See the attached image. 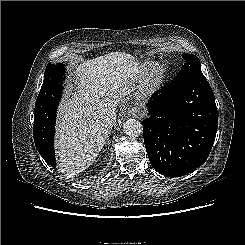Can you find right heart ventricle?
Listing matches in <instances>:
<instances>
[{"label":"right heart ventricle","mask_w":245,"mask_h":245,"mask_svg":"<svg viewBox=\"0 0 245 245\" xmlns=\"http://www.w3.org/2000/svg\"><path fill=\"white\" fill-rule=\"evenodd\" d=\"M148 67H149V64H148V63L144 64V65L141 67V72L147 71V70H148Z\"/></svg>","instance_id":"right-heart-ventricle-1"}]
</instances>
